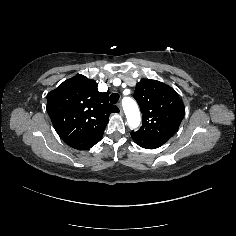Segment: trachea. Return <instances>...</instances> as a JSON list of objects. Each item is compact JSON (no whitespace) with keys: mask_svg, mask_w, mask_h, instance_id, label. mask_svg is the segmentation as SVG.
<instances>
[{"mask_svg":"<svg viewBox=\"0 0 236 236\" xmlns=\"http://www.w3.org/2000/svg\"><path fill=\"white\" fill-rule=\"evenodd\" d=\"M110 102L112 103V104H116L118 101H119V94L118 93H112L111 95H110Z\"/></svg>","mask_w":236,"mask_h":236,"instance_id":"1","label":"trachea"}]
</instances>
